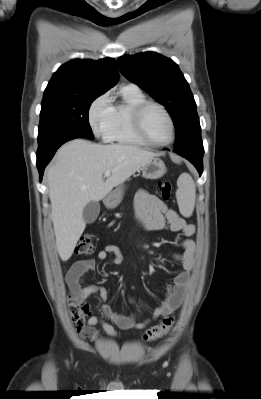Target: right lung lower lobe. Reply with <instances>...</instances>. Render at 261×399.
Instances as JSON below:
<instances>
[{"instance_id": "right-lung-lower-lobe-1", "label": "right lung lower lobe", "mask_w": 261, "mask_h": 399, "mask_svg": "<svg viewBox=\"0 0 261 399\" xmlns=\"http://www.w3.org/2000/svg\"><path fill=\"white\" fill-rule=\"evenodd\" d=\"M82 137L86 136L75 131L64 130L38 142L37 168L40 174V180H42L46 165L50 162L57 149L69 140Z\"/></svg>"}]
</instances>
